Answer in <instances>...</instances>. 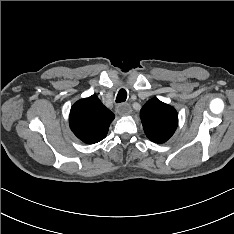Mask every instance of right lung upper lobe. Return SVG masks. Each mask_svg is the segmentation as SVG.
Masks as SVG:
<instances>
[{
    "mask_svg": "<svg viewBox=\"0 0 234 234\" xmlns=\"http://www.w3.org/2000/svg\"><path fill=\"white\" fill-rule=\"evenodd\" d=\"M115 115L96 95L77 101L71 108L69 124L72 132L84 143L103 140Z\"/></svg>",
    "mask_w": 234,
    "mask_h": 234,
    "instance_id": "right-lung-upper-lobe-1",
    "label": "right lung upper lobe"
}]
</instances>
